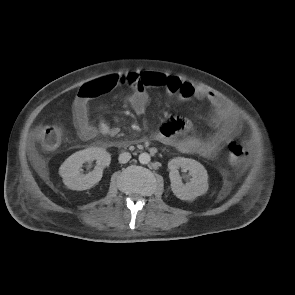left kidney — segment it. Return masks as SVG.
Wrapping results in <instances>:
<instances>
[{
	"label": "left kidney",
	"instance_id": "5707ae66",
	"mask_svg": "<svg viewBox=\"0 0 295 295\" xmlns=\"http://www.w3.org/2000/svg\"><path fill=\"white\" fill-rule=\"evenodd\" d=\"M168 168L171 189L177 198L190 201L207 192L209 187L207 171L196 160L176 157L169 161ZM178 168H184L190 172L192 178L188 183H182Z\"/></svg>",
	"mask_w": 295,
	"mask_h": 295
}]
</instances>
